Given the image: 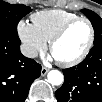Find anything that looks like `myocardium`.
I'll return each instance as SVG.
<instances>
[{"mask_svg":"<svg viewBox=\"0 0 102 102\" xmlns=\"http://www.w3.org/2000/svg\"><path fill=\"white\" fill-rule=\"evenodd\" d=\"M78 22H84L86 23V25L89 28V39L88 42L84 48V50L82 51V53L76 57L73 60L70 61H58V63L63 66V67H72L75 66L79 63H81L86 56L88 55V53L90 52L92 45H93V41H94V29L93 26L91 24V22L84 17H77L71 21H69L68 23H66L49 41V50L52 53L53 48L55 47V45L65 36V34L68 32V30L75 25Z\"/></svg>","mask_w":102,"mask_h":102,"instance_id":"f54148a6","label":"myocardium"}]
</instances>
